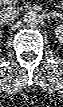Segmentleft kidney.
Segmentation results:
<instances>
[{"label": "left kidney", "mask_w": 63, "mask_h": 107, "mask_svg": "<svg viewBox=\"0 0 63 107\" xmlns=\"http://www.w3.org/2000/svg\"><path fill=\"white\" fill-rule=\"evenodd\" d=\"M55 34H56V37L59 40V42L62 44L63 43V26L62 25H59L55 29Z\"/></svg>", "instance_id": "left-kidney-1"}]
</instances>
